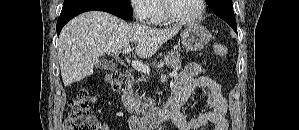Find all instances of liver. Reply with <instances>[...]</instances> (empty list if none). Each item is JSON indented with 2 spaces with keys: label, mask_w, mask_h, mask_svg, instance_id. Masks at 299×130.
<instances>
[{
  "label": "liver",
  "mask_w": 299,
  "mask_h": 130,
  "mask_svg": "<svg viewBox=\"0 0 299 130\" xmlns=\"http://www.w3.org/2000/svg\"><path fill=\"white\" fill-rule=\"evenodd\" d=\"M180 27L165 29L127 24L102 11H89L73 18L59 36L58 59L64 86L93 74L101 55H115L130 43L141 58L153 56Z\"/></svg>",
  "instance_id": "obj_1"
}]
</instances>
